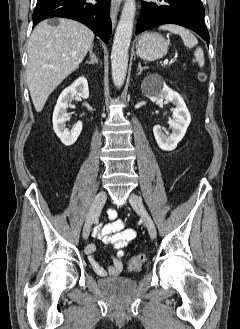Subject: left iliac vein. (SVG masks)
I'll return each mask as SVG.
<instances>
[{
    "instance_id": "obj_1",
    "label": "left iliac vein",
    "mask_w": 240,
    "mask_h": 329,
    "mask_svg": "<svg viewBox=\"0 0 240 329\" xmlns=\"http://www.w3.org/2000/svg\"><path fill=\"white\" fill-rule=\"evenodd\" d=\"M129 202H130L131 206L133 207V209L138 214H140V216L142 217L150 237L152 239L156 238L157 232H156L155 224H154L153 220L151 219L150 215L147 213V211L143 205L142 199L139 196H137L136 194L132 193L129 197Z\"/></svg>"
}]
</instances>
